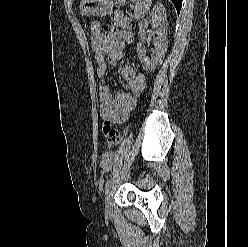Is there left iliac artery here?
<instances>
[{
	"label": "left iliac artery",
	"mask_w": 248,
	"mask_h": 247,
	"mask_svg": "<svg viewBox=\"0 0 248 247\" xmlns=\"http://www.w3.org/2000/svg\"><path fill=\"white\" fill-rule=\"evenodd\" d=\"M112 180H113V178H111L110 180H108V181L106 182V189L108 188V186L110 185V183L112 182Z\"/></svg>",
	"instance_id": "1"
}]
</instances>
